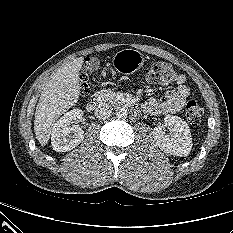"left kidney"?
Returning <instances> with one entry per match:
<instances>
[{"label":"left kidney","mask_w":233,"mask_h":233,"mask_svg":"<svg viewBox=\"0 0 233 233\" xmlns=\"http://www.w3.org/2000/svg\"><path fill=\"white\" fill-rule=\"evenodd\" d=\"M165 126L172 133L167 135L163 126H157L153 130L154 140L159 148L169 155L187 156L192 148L191 132L188 124L178 116L166 115Z\"/></svg>","instance_id":"obj_1"}]
</instances>
